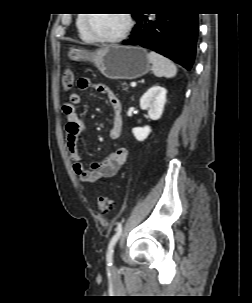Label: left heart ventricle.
Returning <instances> with one entry per match:
<instances>
[{"instance_id": "1", "label": "left heart ventricle", "mask_w": 252, "mask_h": 303, "mask_svg": "<svg viewBox=\"0 0 252 303\" xmlns=\"http://www.w3.org/2000/svg\"><path fill=\"white\" fill-rule=\"evenodd\" d=\"M88 25L93 34L113 36L120 33L126 25L124 14H92Z\"/></svg>"}]
</instances>
